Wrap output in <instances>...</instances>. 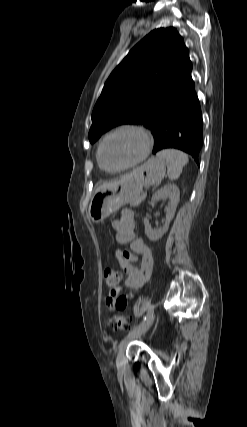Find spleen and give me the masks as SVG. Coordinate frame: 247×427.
Masks as SVG:
<instances>
[{
  "instance_id": "3e777b00",
  "label": "spleen",
  "mask_w": 247,
  "mask_h": 427,
  "mask_svg": "<svg viewBox=\"0 0 247 427\" xmlns=\"http://www.w3.org/2000/svg\"><path fill=\"white\" fill-rule=\"evenodd\" d=\"M157 158L163 159L168 164V177L170 180L179 178L183 167L188 163L187 154L176 149H165L157 153Z\"/></svg>"
}]
</instances>
